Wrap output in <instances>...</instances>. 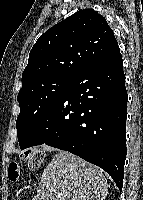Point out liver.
I'll list each match as a JSON object with an SVG mask.
<instances>
[{
	"instance_id": "liver-1",
	"label": "liver",
	"mask_w": 143,
	"mask_h": 200,
	"mask_svg": "<svg viewBox=\"0 0 143 200\" xmlns=\"http://www.w3.org/2000/svg\"><path fill=\"white\" fill-rule=\"evenodd\" d=\"M103 171L67 151H59L42 173L33 200H104Z\"/></svg>"
}]
</instances>
